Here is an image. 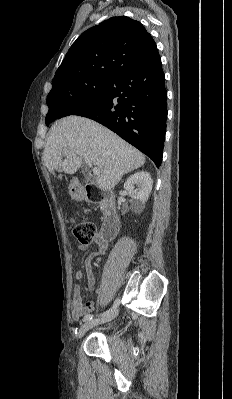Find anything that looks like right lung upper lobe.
<instances>
[{"label": "right lung upper lobe", "instance_id": "cb5924a9", "mask_svg": "<svg viewBox=\"0 0 232 399\" xmlns=\"http://www.w3.org/2000/svg\"><path fill=\"white\" fill-rule=\"evenodd\" d=\"M156 51V43L139 21L112 17L83 32L72 44L48 95L87 80L111 78Z\"/></svg>", "mask_w": 232, "mask_h": 399}]
</instances>
